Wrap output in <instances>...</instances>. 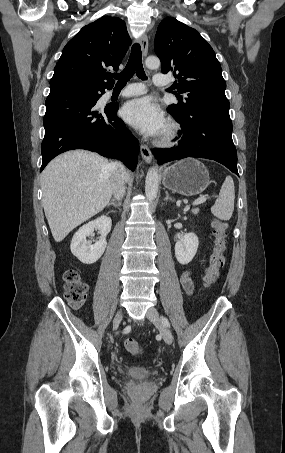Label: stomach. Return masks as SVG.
<instances>
[{"instance_id":"1","label":"stomach","mask_w":285,"mask_h":453,"mask_svg":"<svg viewBox=\"0 0 285 453\" xmlns=\"http://www.w3.org/2000/svg\"><path fill=\"white\" fill-rule=\"evenodd\" d=\"M165 188L184 196L202 193L210 184L209 172L199 160L187 158L165 168L162 172Z\"/></svg>"}]
</instances>
